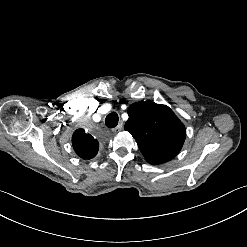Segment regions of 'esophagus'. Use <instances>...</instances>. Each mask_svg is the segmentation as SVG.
<instances>
[{
  "mask_svg": "<svg viewBox=\"0 0 247 247\" xmlns=\"http://www.w3.org/2000/svg\"><path fill=\"white\" fill-rule=\"evenodd\" d=\"M122 127H123V125H122V123H120L115 128L112 129V132L113 133H118V132L121 131Z\"/></svg>",
  "mask_w": 247,
  "mask_h": 247,
  "instance_id": "esophagus-1",
  "label": "esophagus"
}]
</instances>
